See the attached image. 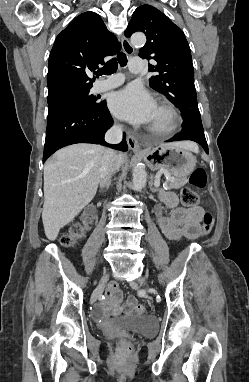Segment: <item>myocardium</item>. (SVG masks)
Wrapping results in <instances>:
<instances>
[{"instance_id": "f54148a6", "label": "myocardium", "mask_w": 249, "mask_h": 382, "mask_svg": "<svg viewBox=\"0 0 249 382\" xmlns=\"http://www.w3.org/2000/svg\"><path fill=\"white\" fill-rule=\"evenodd\" d=\"M157 107L166 112L168 116V121L162 128H153L148 126L147 131L154 136L167 137L171 135L179 125V114L176 108L167 101H161L157 104Z\"/></svg>"}]
</instances>
